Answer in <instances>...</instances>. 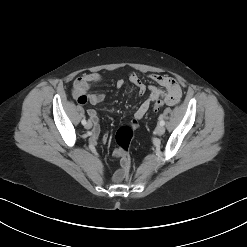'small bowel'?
<instances>
[{"mask_svg": "<svg viewBox=\"0 0 247 247\" xmlns=\"http://www.w3.org/2000/svg\"><path fill=\"white\" fill-rule=\"evenodd\" d=\"M149 77L152 81L164 89H161L155 85L147 86L135 73H131L128 77L129 82L137 89L140 96L144 95L147 91L149 92L148 97L138 106L135 111L134 117L136 120L142 119L146 115L151 104L154 103L157 99L164 98L167 105L172 106L178 104L182 96L181 87L174 78L161 74H150ZM101 80L102 77L98 73H88L76 78L73 84V97L80 104L90 102L91 104L96 105L103 102L105 99V94L88 93L90 85ZM124 84L125 81L123 79H119L116 82L117 88H122ZM88 115L95 125L93 132V135L95 136L99 132L97 112L94 109H89ZM108 140V134H104L102 136V141L106 143ZM115 155L117 156L116 153ZM120 178L121 173L118 171L115 175V180H119Z\"/></svg>", "mask_w": 247, "mask_h": 247, "instance_id": "c3829d8e", "label": "small bowel"}]
</instances>
